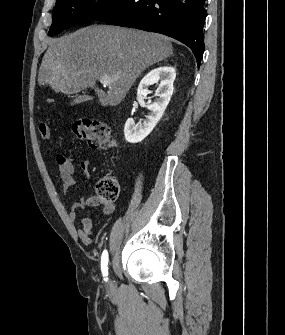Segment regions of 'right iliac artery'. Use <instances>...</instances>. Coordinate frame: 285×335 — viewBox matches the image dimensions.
<instances>
[{"mask_svg": "<svg viewBox=\"0 0 285 335\" xmlns=\"http://www.w3.org/2000/svg\"><path fill=\"white\" fill-rule=\"evenodd\" d=\"M101 270L104 277H107L108 275V252L107 250H104L101 257ZM104 280H107V278H104Z\"/></svg>", "mask_w": 285, "mask_h": 335, "instance_id": "right-iliac-artery-1", "label": "right iliac artery"}]
</instances>
